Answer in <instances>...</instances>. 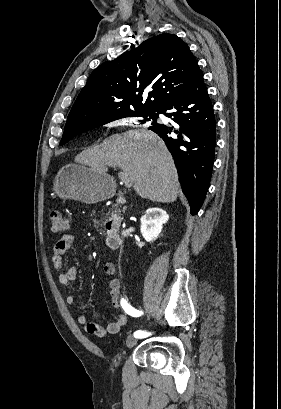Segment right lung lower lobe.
<instances>
[{
    "instance_id": "1",
    "label": "right lung lower lobe",
    "mask_w": 281,
    "mask_h": 409,
    "mask_svg": "<svg viewBox=\"0 0 281 409\" xmlns=\"http://www.w3.org/2000/svg\"><path fill=\"white\" fill-rule=\"evenodd\" d=\"M176 125L155 123L149 129L157 133L172 153L183 193L195 215L210 184L216 142V121L212 102L203 82L196 75L182 93L167 101L161 110Z\"/></svg>"
}]
</instances>
